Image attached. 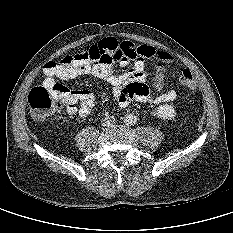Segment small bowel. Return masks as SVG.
<instances>
[{
	"instance_id": "1",
	"label": "small bowel",
	"mask_w": 233,
	"mask_h": 233,
	"mask_svg": "<svg viewBox=\"0 0 233 233\" xmlns=\"http://www.w3.org/2000/svg\"><path fill=\"white\" fill-rule=\"evenodd\" d=\"M112 46L114 48L111 51ZM91 47L98 50L89 52L87 59H78L67 66H44L43 87L50 89L63 100L69 115L86 117L94 106V94L90 90H70L57 80L68 81L80 76H93L104 80L111 86L113 96L121 107L128 106L132 101L162 104L176 99L175 90L163 91L164 66L173 62L170 54L152 46H136L131 42H119L113 38L101 40L83 49ZM146 59L154 61L156 66L154 88L157 94H153L146 84Z\"/></svg>"
}]
</instances>
